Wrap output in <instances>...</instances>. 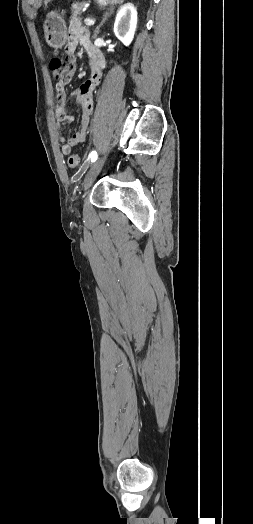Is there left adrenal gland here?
Listing matches in <instances>:
<instances>
[{"mask_svg": "<svg viewBox=\"0 0 253 524\" xmlns=\"http://www.w3.org/2000/svg\"><path fill=\"white\" fill-rule=\"evenodd\" d=\"M112 12H113V8H112V9L110 10V12L107 13V15L103 18V20H102V22L100 23V25L97 26V28H96L95 31H94V38L97 37V35H98L99 32H100V28H101V26L105 23V21L107 20V17H108L110 14H112Z\"/></svg>", "mask_w": 253, "mask_h": 524, "instance_id": "obj_1", "label": "left adrenal gland"}]
</instances>
